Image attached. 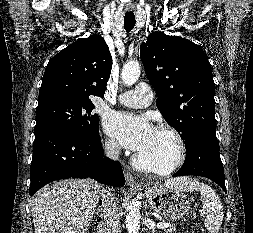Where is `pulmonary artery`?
<instances>
[{"label":"pulmonary artery","mask_w":253,"mask_h":233,"mask_svg":"<svg viewBox=\"0 0 253 233\" xmlns=\"http://www.w3.org/2000/svg\"><path fill=\"white\" fill-rule=\"evenodd\" d=\"M118 102L132 108H144L151 104L153 92L148 84L141 83L135 89L121 93Z\"/></svg>","instance_id":"pulmonary-artery-1"}]
</instances>
